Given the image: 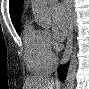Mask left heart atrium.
Masks as SVG:
<instances>
[{
    "instance_id": "39dd6f15",
    "label": "left heart atrium",
    "mask_w": 89,
    "mask_h": 89,
    "mask_svg": "<svg viewBox=\"0 0 89 89\" xmlns=\"http://www.w3.org/2000/svg\"><path fill=\"white\" fill-rule=\"evenodd\" d=\"M52 31L57 40H62L68 29V16L61 5H56L51 10Z\"/></svg>"
}]
</instances>
